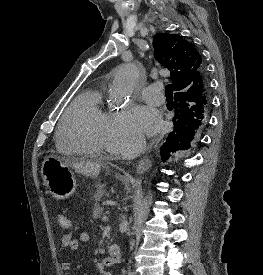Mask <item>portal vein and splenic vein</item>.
<instances>
[{"instance_id":"1","label":"portal vein and splenic vein","mask_w":263,"mask_h":275,"mask_svg":"<svg viewBox=\"0 0 263 275\" xmlns=\"http://www.w3.org/2000/svg\"><path fill=\"white\" fill-rule=\"evenodd\" d=\"M102 220L106 222L108 220V217L107 216H103Z\"/></svg>"}]
</instances>
